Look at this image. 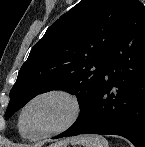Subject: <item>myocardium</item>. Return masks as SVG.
I'll list each match as a JSON object with an SVG mask.
<instances>
[{"mask_svg":"<svg viewBox=\"0 0 145 147\" xmlns=\"http://www.w3.org/2000/svg\"><path fill=\"white\" fill-rule=\"evenodd\" d=\"M49 97H59L69 103V105L71 107V113H70L69 118L66 120L65 123H63L61 126L55 128V129H52L49 131H44L41 133H34V134L27 133L23 127V120H24V116H25L26 111L35 102H37L41 99H44V98H49ZM81 112H82V104H81L79 97L75 93H73L67 89H63V88H52V89L41 91V92L31 96L23 104V106L21 107L19 114H18L17 125H18V129H19L20 134H23L28 139H34V140L43 139V138L51 137L54 135H58L60 133L65 132L69 128H71L80 118Z\"/></svg>","mask_w":145,"mask_h":147,"instance_id":"f54148a6","label":"myocardium"}]
</instances>
